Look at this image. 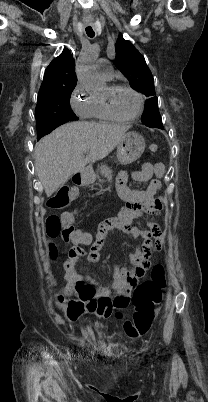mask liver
Masks as SVG:
<instances>
[{"mask_svg": "<svg viewBox=\"0 0 208 402\" xmlns=\"http://www.w3.org/2000/svg\"><path fill=\"white\" fill-rule=\"evenodd\" d=\"M129 128L108 122H70L37 142L35 170L46 196H52L73 174L83 170L88 164L82 160L83 154L89 152V162L103 160L123 140Z\"/></svg>", "mask_w": 208, "mask_h": 402, "instance_id": "liver-1", "label": "liver"}]
</instances>
